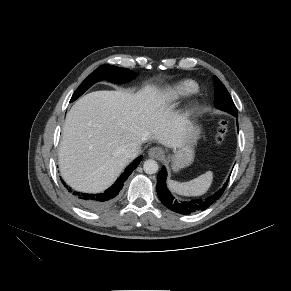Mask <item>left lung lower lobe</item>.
<instances>
[{
	"mask_svg": "<svg viewBox=\"0 0 291 291\" xmlns=\"http://www.w3.org/2000/svg\"><path fill=\"white\" fill-rule=\"evenodd\" d=\"M233 115V114H232ZM238 114L234 115L237 117ZM166 177H167V171L165 167H162L161 171L158 173L157 177V194L161 200V202L168 207L170 210L183 214V215H189L193 213H197L200 211H204L207 209L210 205H212L216 200H218L221 195L223 194L227 184V182L224 184V186L215 192L213 195L206 197L205 199H196V200H179L172 196L170 191L167 189L166 186Z\"/></svg>",
	"mask_w": 291,
	"mask_h": 291,
	"instance_id": "1",
	"label": "left lung lower lobe"
}]
</instances>
